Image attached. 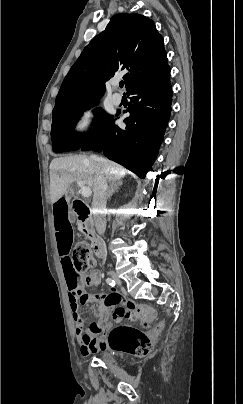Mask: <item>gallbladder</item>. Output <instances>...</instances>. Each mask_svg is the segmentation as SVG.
I'll use <instances>...</instances> for the list:
<instances>
[{
  "instance_id": "obj_1",
  "label": "gallbladder",
  "mask_w": 243,
  "mask_h": 404,
  "mask_svg": "<svg viewBox=\"0 0 243 404\" xmlns=\"http://www.w3.org/2000/svg\"><path fill=\"white\" fill-rule=\"evenodd\" d=\"M73 196H74V192H73V190H71V188H69V190H67V192L65 194V198H66L67 202H70V200H71V198H73ZM69 217L72 219L74 217V214L70 213Z\"/></svg>"
}]
</instances>
